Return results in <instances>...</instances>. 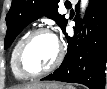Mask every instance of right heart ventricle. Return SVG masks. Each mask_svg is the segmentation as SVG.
<instances>
[{
    "instance_id": "right-heart-ventricle-1",
    "label": "right heart ventricle",
    "mask_w": 107,
    "mask_h": 89,
    "mask_svg": "<svg viewBox=\"0 0 107 89\" xmlns=\"http://www.w3.org/2000/svg\"><path fill=\"white\" fill-rule=\"evenodd\" d=\"M27 34L21 36L14 44L12 52H11V59H10V64H11V69L13 74L15 75L16 78L18 79H26L25 77L17 68L16 65V57H17V52L20 47V44L22 43L23 39L26 37Z\"/></svg>"
}]
</instances>
